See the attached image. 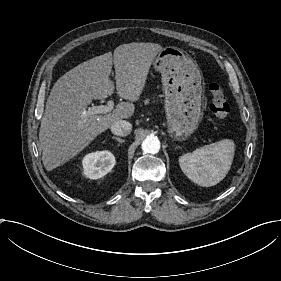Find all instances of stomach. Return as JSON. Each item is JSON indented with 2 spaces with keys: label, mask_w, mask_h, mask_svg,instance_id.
Returning a JSON list of instances; mask_svg holds the SVG:
<instances>
[{
  "label": "stomach",
  "mask_w": 281,
  "mask_h": 281,
  "mask_svg": "<svg viewBox=\"0 0 281 281\" xmlns=\"http://www.w3.org/2000/svg\"><path fill=\"white\" fill-rule=\"evenodd\" d=\"M152 64L162 76L169 132L177 139H185L202 118V72L188 54L174 46L162 48Z\"/></svg>",
  "instance_id": "1"
}]
</instances>
